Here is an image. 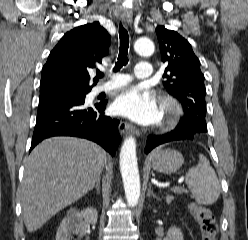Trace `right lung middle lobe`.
<instances>
[{
  "instance_id": "right-lung-middle-lobe-1",
  "label": "right lung middle lobe",
  "mask_w": 248,
  "mask_h": 240,
  "mask_svg": "<svg viewBox=\"0 0 248 240\" xmlns=\"http://www.w3.org/2000/svg\"><path fill=\"white\" fill-rule=\"evenodd\" d=\"M86 94L87 93L79 94V95H74V96H70V97L84 98Z\"/></svg>"
}]
</instances>
